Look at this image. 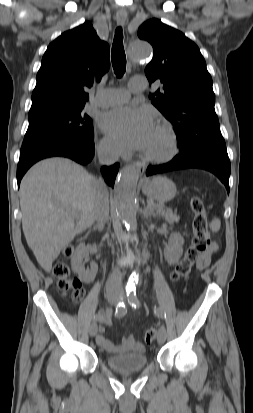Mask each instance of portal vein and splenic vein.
I'll list each match as a JSON object with an SVG mask.
<instances>
[{
	"label": "portal vein and splenic vein",
	"mask_w": 253,
	"mask_h": 413,
	"mask_svg": "<svg viewBox=\"0 0 253 413\" xmlns=\"http://www.w3.org/2000/svg\"><path fill=\"white\" fill-rule=\"evenodd\" d=\"M148 206H149L150 208H152V209H155V205L152 204V203L148 204ZM74 215H77V212H74Z\"/></svg>",
	"instance_id": "18ae733b"
}]
</instances>
